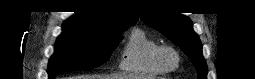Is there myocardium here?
Returning a JSON list of instances; mask_svg holds the SVG:
<instances>
[{
    "mask_svg": "<svg viewBox=\"0 0 255 79\" xmlns=\"http://www.w3.org/2000/svg\"><path fill=\"white\" fill-rule=\"evenodd\" d=\"M166 53H172L176 57V64L175 65H170L168 61L166 60ZM155 60L157 64L166 72L174 71L176 70L180 63H181V57L179 52L172 46L169 45H162L159 46L156 50L155 53Z\"/></svg>",
    "mask_w": 255,
    "mask_h": 79,
    "instance_id": "1",
    "label": "myocardium"
}]
</instances>
